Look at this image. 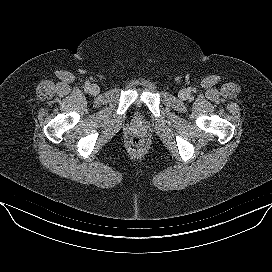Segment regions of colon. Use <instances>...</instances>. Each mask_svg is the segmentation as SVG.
<instances>
[{"mask_svg":"<svg viewBox=\"0 0 272 272\" xmlns=\"http://www.w3.org/2000/svg\"><path fill=\"white\" fill-rule=\"evenodd\" d=\"M131 145L134 149H139L143 146V141L139 137H134L131 140Z\"/></svg>","mask_w":272,"mask_h":272,"instance_id":"5ec220e1","label":"colon"}]
</instances>
